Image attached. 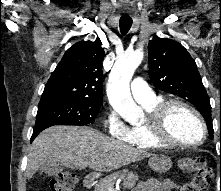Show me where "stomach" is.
Instances as JSON below:
<instances>
[{"label": "stomach", "mask_w": 221, "mask_h": 191, "mask_svg": "<svg viewBox=\"0 0 221 191\" xmlns=\"http://www.w3.org/2000/svg\"><path fill=\"white\" fill-rule=\"evenodd\" d=\"M149 167L159 173L167 172L171 166V159L165 155H152L148 161Z\"/></svg>", "instance_id": "obj_1"}]
</instances>
